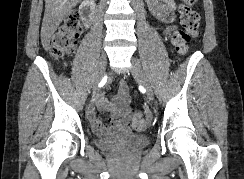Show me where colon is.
<instances>
[{
    "mask_svg": "<svg viewBox=\"0 0 244 179\" xmlns=\"http://www.w3.org/2000/svg\"><path fill=\"white\" fill-rule=\"evenodd\" d=\"M193 3H198V0H186L180 4L179 28L173 32L171 38V43L180 56L186 54L189 41L197 34L200 23V15L193 8ZM79 31L80 24L76 17L68 18L60 25L51 44L52 54L56 61H61L75 49V39ZM131 122L135 129H145L142 108H133Z\"/></svg>",
    "mask_w": 244,
    "mask_h": 179,
    "instance_id": "5ec220e1",
    "label": "colon"
}]
</instances>
